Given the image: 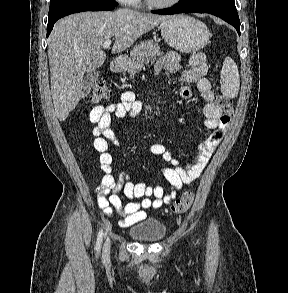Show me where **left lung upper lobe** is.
Listing matches in <instances>:
<instances>
[{
	"instance_id": "obj_1",
	"label": "left lung upper lobe",
	"mask_w": 288,
	"mask_h": 293,
	"mask_svg": "<svg viewBox=\"0 0 288 293\" xmlns=\"http://www.w3.org/2000/svg\"><path fill=\"white\" fill-rule=\"evenodd\" d=\"M181 2H188L193 4H217L229 9H236L234 0H180Z\"/></svg>"
}]
</instances>
